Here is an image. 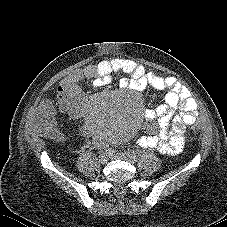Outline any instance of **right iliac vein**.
<instances>
[{
  "label": "right iliac vein",
  "mask_w": 227,
  "mask_h": 227,
  "mask_svg": "<svg viewBox=\"0 0 227 227\" xmlns=\"http://www.w3.org/2000/svg\"><path fill=\"white\" fill-rule=\"evenodd\" d=\"M98 160L101 164H106L108 162V156L106 154H102L99 156Z\"/></svg>",
  "instance_id": "right-iliac-vein-1"
}]
</instances>
